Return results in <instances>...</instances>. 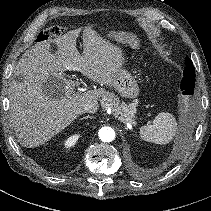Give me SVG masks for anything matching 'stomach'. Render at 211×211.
<instances>
[{"mask_svg": "<svg viewBox=\"0 0 211 211\" xmlns=\"http://www.w3.org/2000/svg\"><path fill=\"white\" fill-rule=\"evenodd\" d=\"M120 42H129L132 36L120 32L115 35ZM113 87L125 98H135L139 93V87L135 78L126 69L122 68L114 78Z\"/></svg>", "mask_w": 211, "mask_h": 211, "instance_id": "obj_1", "label": "stomach"}]
</instances>
